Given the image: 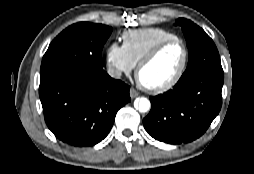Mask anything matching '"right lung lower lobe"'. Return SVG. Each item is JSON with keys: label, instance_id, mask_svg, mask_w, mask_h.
Returning a JSON list of instances; mask_svg holds the SVG:
<instances>
[{"label": "right lung lower lobe", "instance_id": "right-lung-lower-lobe-1", "mask_svg": "<svg viewBox=\"0 0 254 174\" xmlns=\"http://www.w3.org/2000/svg\"><path fill=\"white\" fill-rule=\"evenodd\" d=\"M129 89L104 70L56 79L39 87L45 122L64 143L95 145L108 135L118 110L130 102Z\"/></svg>", "mask_w": 254, "mask_h": 174}]
</instances>
